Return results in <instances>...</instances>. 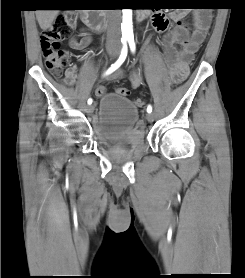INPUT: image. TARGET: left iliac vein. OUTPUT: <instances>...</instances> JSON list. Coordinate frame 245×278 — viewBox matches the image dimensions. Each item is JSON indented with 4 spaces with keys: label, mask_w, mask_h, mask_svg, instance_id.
I'll return each mask as SVG.
<instances>
[{
    "label": "left iliac vein",
    "mask_w": 245,
    "mask_h": 278,
    "mask_svg": "<svg viewBox=\"0 0 245 278\" xmlns=\"http://www.w3.org/2000/svg\"><path fill=\"white\" fill-rule=\"evenodd\" d=\"M154 114L153 113H147L146 119L148 122H152L154 120Z\"/></svg>",
    "instance_id": "1"
}]
</instances>
